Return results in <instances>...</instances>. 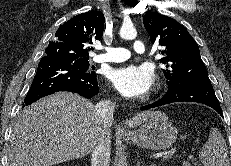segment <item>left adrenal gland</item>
Wrapping results in <instances>:
<instances>
[{"label": "left adrenal gland", "mask_w": 231, "mask_h": 166, "mask_svg": "<svg viewBox=\"0 0 231 166\" xmlns=\"http://www.w3.org/2000/svg\"><path fill=\"white\" fill-rule=\"evenodd\" d=\"M137 166H141V163H140V161H138V164H137Z\"/></svg>", "instance_id": "1"}]
</instances>
